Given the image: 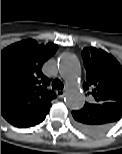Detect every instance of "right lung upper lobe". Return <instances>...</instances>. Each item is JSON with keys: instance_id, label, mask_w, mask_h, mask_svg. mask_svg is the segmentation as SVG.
I'll return each instance as SVG.
<instances>
[{"instance_id": "obj_1", "label": "right lung upper lobe", "mask_w": 122, "mask_h": 154, "mask_svg": "<svg viewBox=\"0 0 122 154\" xmlns=\"http://www.w3.org/2000/svg\"><path fill=\"white\" fill-rule=\"evenodd\" d=\"M57 48L27 39L1 51V115L12 125L29 127L48 114L56 94L47 90L41 67Z\"/></svg>"}]
</instances>
